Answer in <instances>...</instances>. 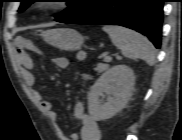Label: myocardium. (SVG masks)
<instances>
[{
    "mask_svg": "<svg viewBox=\"0 0 182 140\" xmlns=\"http://www.w3.org/2000/svg\"><path fill=\"white\" fill-rule=\"evenodd\" d=\"M59 7H61V5L56 3H49L43 6V8L46 10H55V9H58Z\"/></svg>",
    "mask_w": 182,
    "mask_h": 140,
    "instance_id": "myocardium-1",
    "label": "myocardium"
}]
</instances>
